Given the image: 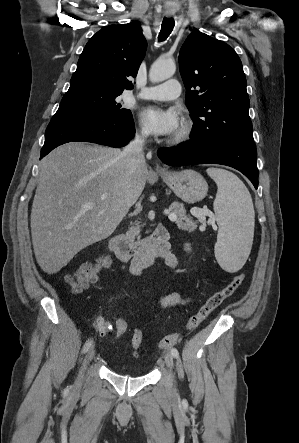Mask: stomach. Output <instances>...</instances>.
<instances>
[{
	"label": "stomach",
	"instance_id": "0dacf381",
	"mask_svg": "<svg viewBox=\"0 0 299 443\" xmlns=\"http://www.w3.org/2000/svg\"><path fill=\"white\" fill-rule=\"evenodd\" d=\"M160 175L176 196L187 203L194 204L207 195L208 184L206 180L194 170L166 171Z\"/></svg>",
	"mask_w": 299,
	"mask_h": 443
}]
</instances>
